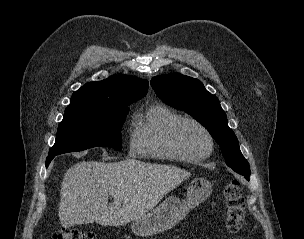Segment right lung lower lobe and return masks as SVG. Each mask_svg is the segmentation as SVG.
<instances>
[{
    "instance_id": "right-lung-lower-lobe-1",
    "label": "right lung lower lobe",
    "mask_w": 304,
    "mask_h": 239,
    "mask_svg": "<svg viewBox=\"0 0 304 239\" xmlns=\"http://www.w3.org/2000/svg\"><path fill=\"white\" fill-rule=\"evenodd\" d=\"M56 155H49L46 159V167H48L49 163L51 162V160L55 157Z\"/></svg>"
}]
</instances>
